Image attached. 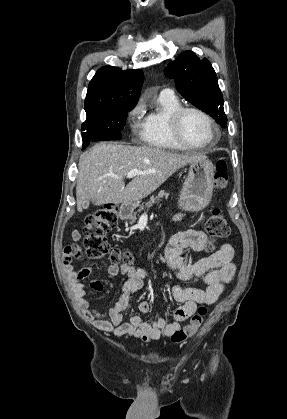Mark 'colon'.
Masks as SVG:
<instances>
[{
    "label": "colon",
    "mask_w": 287,
    "mask_h": 419,
    "mask_svg": "<svg viewBox=\"0 0 287 419\" xmlns=\"http://www.w3.org/2000/svg\"><path fill=\"white\" fill-rule=\"evenodd\" d=\"M228 182V173L226 162L220 160L216 165L215 185L217 188H224ZM118 222V212L114 204H107L98 209L86 219V225L83 229V242L87 253L91 258L99 259L108 257L112 262L124 260L130 263L132 255L127 251L111 249L106 234L110 232ZM205 230L207 234L215 239H223L229 236L230 227L227 224L223 214L219 210H214L208 218ZM207 314V307L202 305L191 317L189 324L184 328L176 330L171 335V341L181 343L193 337L202 325Z\"/></svg>",
    "instance_id": "colon-1"
}]
</instances>
